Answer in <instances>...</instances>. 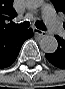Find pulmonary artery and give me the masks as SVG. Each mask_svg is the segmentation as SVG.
Segmentation results:
<instances>
[{
    "label": "pulmonary artery",
    "mask_w": 65,
    "mask_h": 89,
    "mask_svg": "<svg viewBox=\"0 0 65 89\" xmlns=\"http://www.w3.org/2000/svg\"><path fill=\"white\" fill-rule=\"evenodd\" d=\"M42 14L51 31L55 34H61L62 26L55 14L54 8L51 5L46 4L42 8Z\"/></svg>",
    "instance_id": "obj_1"
}]
</instances>
